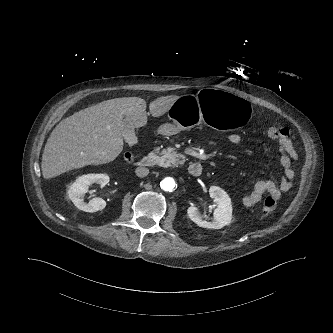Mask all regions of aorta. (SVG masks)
Returning <instances> with one entry per match:
<instances>
[{
    "mask_svg": "<svg viewBox=\"0 0 333 333\" xmlns=\"http://www.w3.org/2000/svg\"><path fill=\"white\" fill-rule=\"evenodd\" d=\"M160 186L164 191H169L170 192L175 188L176 183H175L173 178L166 177L161 181Z\"/></svg>",
    "mask_w": 333,
    "mask_h": 333,
    "instance_id": "762f6f07",
    "label": "aorta"
}]
</instances>
